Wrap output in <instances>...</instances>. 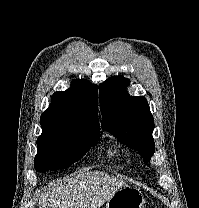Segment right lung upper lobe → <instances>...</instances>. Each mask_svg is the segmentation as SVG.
<instances>
[{"label": "right lung upper lobe", "mask_w": 199, "mask_h": 208, "mask_svg": "<svg viewBox=\"0 0 199 208\" xmlns=\"http://www.w3.org/2000/svg\"><path fill=\"white\" fill-rule=\"evenodd\" d=\"M40 124L59 129L99 130L97 86L81 79L75 80L68 90L55 92L51 105L41 115Z\"/></svg>", "instance_id": "right-lung-upper-lobe-1"}]
</instances>
